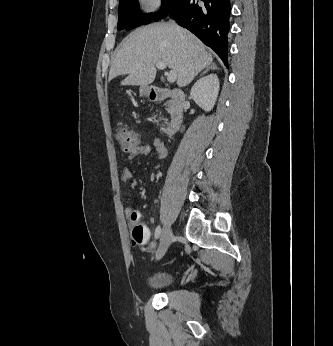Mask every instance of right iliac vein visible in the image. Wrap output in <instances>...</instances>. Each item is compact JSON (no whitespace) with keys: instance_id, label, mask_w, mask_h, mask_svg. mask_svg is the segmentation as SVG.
Segmentation results:
<instances>
[{"instance_id":"right-iliac-vein-1","label":"right iliac vein","mask_w":333,"mask_h":346,"mask_svg":"<svg viewBox=\"0 0 333 346\" xmlns=\"http://www.w3.org/2000/svg\"><path fill=\"white\" fill-rule=\"evenodd\" d=\"M171 240H172V230L168 225H166L163 229L161 239H160V244L156 253L157 260H160L165 255L171 243Z\"/></svg>"}]
</instances>
